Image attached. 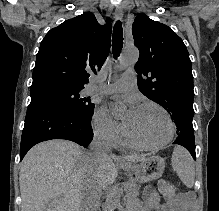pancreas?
I'll use <instances>...</instances> for the list:
<instances>
[{
    "label": "pancreas",
    "mask_w": 219,
    "mask_h": 211,
    "mask_svg": "<svg viewBox=\"0 0 219 211\" xmlns=\"http://www.w3.org/2000/svg\"><path fill=\"white\" fill-rule=\"evenodd\" d=\"M133 189H138L139 187H132ZM127 211H138L141 207V198H137V195H127Z\"/></svg>",
    "instance_id": "obj_1"
}]
</instances>
